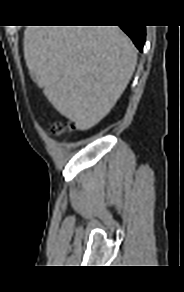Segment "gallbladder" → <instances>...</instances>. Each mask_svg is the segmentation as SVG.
Segmentation results:
<instances>
[{"label": "gallbladder", "instance_id": "obj_1", "mask_svg": "<svg viewBox=\"0 0 184 292\" xmlns=\"http://www.w3.org/2000/svg\"><path fill=\"white\" fill-rule=\"evenodd\" d=\"M31 77H32V79L35 81L36 80V75L33 73H31Z\"/></svg>", "mask_w": 184, "mask_h": 292}]
</instances>
